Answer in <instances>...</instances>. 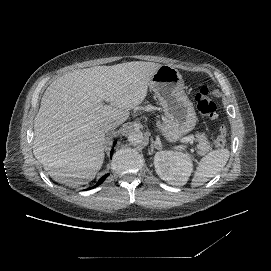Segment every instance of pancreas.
<instances>
[{
  "mask_svg": "<svg viewBox=\"0 0 271 271\" xmlns=\"http://www.w3.org/2000/svg\"><path fill=\"white\" fill-rule=\"evenodd\" d=\"M196 138H197V141H198V145H197L198 151H197V153L199 155L207 154L212 148H211V146L209 144V141L207 140L205 134L204 133H202V134L197 133Z\"/></svg>",
  "mask_w": 271,
  "mask_h": 271,
  "instance_id": "cf45deb5",
  "label": "pancreas"
}]
</instances>
